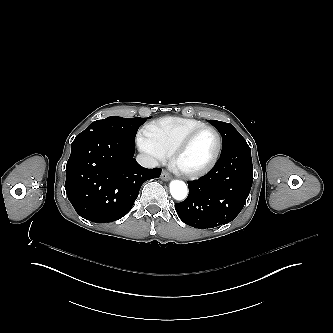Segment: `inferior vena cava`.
<instances>
[{"mask_svg":"<svg viewBox=\"0 0 333 333\" xmlns=\"http://www.w3.org/2000/svg\"><path fill=\"white\" fill-rule=\"evenodd\" d=\"M136 160L141 166H143L145 168H154V167L158 166L157 160L150 157L147 154L142 153V154L137 155Z\"/></svg>","mask_w":333,"mask_h":333,"instance_id":"obj_1","label":"inferior vena cava"}]
</instances>
